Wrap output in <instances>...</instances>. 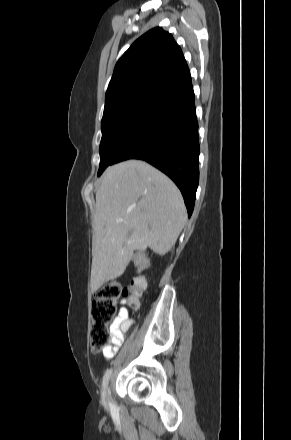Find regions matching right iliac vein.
I'll list each match as a JSON object with an SVG mask.
<instances>
[{
  "label": "right iliac vein",
  "instance_id": "63e3f726",
  "mask_svg": "<svg viewBox=\"0 0 291 440\" xmlns=\"http://www.w3.org/2000/svg\"><path fill=\"white\" fill-rule=\"evenodd\" d=\"M107 392H108V395L110 396V395H111V391H110V388H109V387L107 388ZM109 405H110V406L112 405V401H111V399H109Z\"/></svg>",
  "mask_w": 291,
  "mask_h": 440
}]
</instances>
